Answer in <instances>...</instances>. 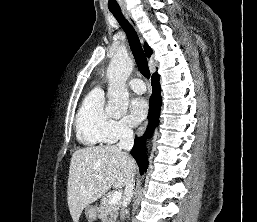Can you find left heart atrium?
<instances>
[{"label": "left heart atrium", "instance_id": "obj_1", "mask_svg": "<svg viewBox=\"0 0 257 222\" xmlns=\"http://www.w3.org/2000/svg\"><path fill=\"white\" fill-rule=\"evenodd\" d=\"M148 113V104L142 97L134 98L130 103V118L133 124H139Z\"/></svg>", "mask_w": 257, "mask_h": 222}]
</instances>
